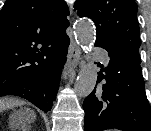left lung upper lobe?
<instances>
[{
	"label": "left lung upper lobe",
	"instance_id": "5c2ea615",
	"mask_svg": "<svg viewBox=\"0 0 151 131\" xmlns=\"http://www.w3.org/2000/svg\"><path fill=\"white\" fill-rule=\"evenodd\" d=\"M74 7L79 16L94 21L96 45L116 59L140 65L141 40L134 0H76Z\"/></svg>",
	"mask_w": 151,
	"mask_h": 131
}]
</instances>
